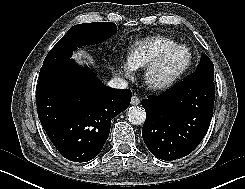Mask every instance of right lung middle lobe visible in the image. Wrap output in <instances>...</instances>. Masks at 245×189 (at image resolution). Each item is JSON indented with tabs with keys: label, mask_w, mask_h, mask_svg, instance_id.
I'll use <instances>...</instances> for the list:
<instances>
[{
	"label": "right lung middle lobe",
	"mask_w": 245,
	"mask_h": 189,
	"mask_svg": "<svg viewBox=\"0 0 245 189\" xmlns=\"http://www.w3.org/2000/svg\"><path fill=\"white\" fill-rule=\"evenodd\" d=\"M116 31V25L110 22L83 23L71 27L46 56L38 79L51 75L54 70L68 62L77 47L98 43L111 37Z\"/></svg>",
	"instance_id": "obj_1"
}]
</instances>
